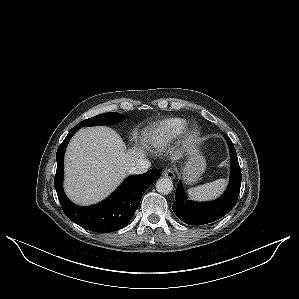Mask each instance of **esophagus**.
Returning a JSON list of instances; mask_svg holds the SVG:
<instances>
[{"label": "esophagus", "mask_w": 299, "mask_h": 299, "mask_svg": "<svg viewBox=\"0 0 299 299\" xmlns=\"http://www.w3.org/2000/svg\"><path fill=\"white\" fill-rule=\"evenodd\" d=\"M163 176H165L169 179H174L175 178L174 171L171 168L164 169Z\"/></svg>", "instance_id": "esophagus-1"}]
</instances>
